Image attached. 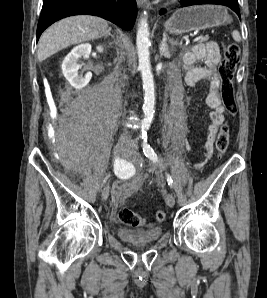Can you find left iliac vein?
Wrapping results in <instances>:
<instances>
[{
  "instance_id": "obj_1",
  "label": "left iliac vein",
  "mask_w": 267,
  "mask_h": 298,
  "mask_svg": "<svg viewBox=\"0 0 267 298\" xmlns=\"http://www.w3.org/2000/svg\"><path fill=\"white\" fill-rule=\"evenodd\" d=\"M126 152L127 156L130 157L132 160L135 161L137 159V151L134 144L127 147ZM165 200L169 207H173L175 205V197L172 193H168L165 197Z\"/></svg>"
}]
</instances>
